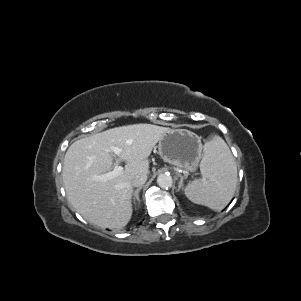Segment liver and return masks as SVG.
I'll use <instances>...</instances> for the list:
<instances>
[{"mask_svg": "<svg viewBox=\"0 0 301 301\" xmlns=\"http://www.w3.org/2000/svg\"><path fill=\"white\" fill-rule=\"evenodd\" d=\"M169 128L152 124L115 127L75 141L67 150L62 177L67 197L88 222L102 228L121 229L132 216V178L149 173L152 149ZM122 150L123 172L102 181L98 176L113 164L111 147Z\"/></svg>", "mask_w": 301, "mask_h": 301, "instance_id": "obj_1", "label": "liver"}]
</instances>
